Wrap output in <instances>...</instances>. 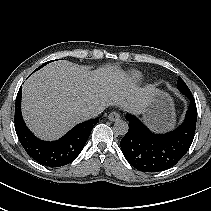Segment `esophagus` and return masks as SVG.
I'll return each instance as SVG.
<instances>
[{
	"label": "esophagus",
	"mask_w": 211,
	"mask_h": 211,
	"mask_svg": "<svg viewBox=\"0 0 211 211\" xmlns=\"http://www.w3.org/2000/svg\"><path fill=\"white\" fill-rule=\"evenodd\" d=\"M121 118L120 114L118 112H111L109 115H108V119L110 121H118L119 119Z\"/></svg>",
	"instance_id": "obj_1"
}]
</instances>
